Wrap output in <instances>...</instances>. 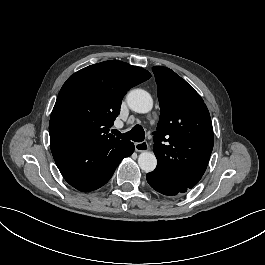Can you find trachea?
Masks as SVG:
<instances>
[{"label": "trachea", "mask_w": 265, "mask_h": 265, "mask_svg": "<svg viewBox=\"0 0 265 265\" xmlns=\"http://www.w3.org/2000/svg\"><path fill=\"white\" fill-rule=\"evenodd\" d=\"M112 133L120 139H128L135 142H142L145 139V131L141 125H135L129 132L120 133L113 129Z\"/></svg>", "instance_id": "trachea-1"}]
</instances>
